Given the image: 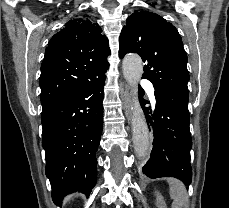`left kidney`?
<instances>
[{"label": "left kidney", "mask_w": 229, "mask_h": 208, "mask_svg": "<svg viewBox=\"0 0 229 208\" xmlns=\"http://www.w3.org/2000/svg\"><path fill=\"white\" fill-rule=\"evenodd\" d=\"M156 196V206L157 208H167L163 196H161L160 192H155Z\"/></svg>", "instance_id": "1"}]
</instances>
